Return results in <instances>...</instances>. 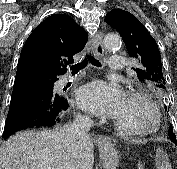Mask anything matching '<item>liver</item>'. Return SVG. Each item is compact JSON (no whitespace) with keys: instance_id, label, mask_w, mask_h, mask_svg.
<instances>
[{"instance_id":"1","label":"liver","mask_w":177,"mask_h":169,"mask_svg":"<svg viewBox=\"0 0 177 169\" xmlns=\"http://www.w3.org/2000/svg\"><path fill=\"white\" fill-rule=\"evenodd\" d=\"M109 142L87 137L69 143L61 128L24 131L3 144L0 169H93V143Z\"/></svg>"}]
</instances>
